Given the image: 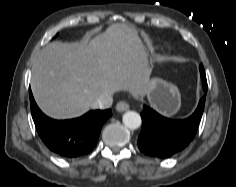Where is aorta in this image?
I'll return each instance as SVG.
<instances>
[{
    "label": "aorta",
    "mask_w": 236,
    "mask_h": 187,
    "mask_svg": "<svg viewBox=\"0 0 236 187\" xmlns=\"http://www.w3.org/2000/svg\"><path fill=\"white\" fill-rule=\"evenodd\" d=\"M141 123V116L135 111H128L123 115V124L129 129H137Z\"/></svg>",
    "instance_id": "1"
}]
</instances>
